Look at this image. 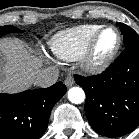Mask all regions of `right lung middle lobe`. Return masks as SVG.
Segmentation results:
<instances>
[{
    "label": "right lung middle lobe",
    "instance_id": "right-lung-middle-lobe-1",
    "mask_svg": "<svg viewBox=\"0 0 139 139\" xmlns=\"http://www.w3.org/2000/svg\"><path fill=\"white\" fill-rule=\"evenodd\" d=\"M18 31V29L14 26H0V37L7 34V33H11V32H16Z\"/></svg>",
    "mask_w": 139,
    "mask_h": 139
}]
</instances>
